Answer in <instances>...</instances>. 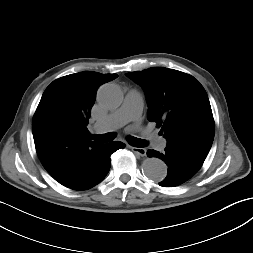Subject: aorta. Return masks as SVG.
Listing matches in <instances>:
<instances>
[{"instance_id": "1", "label": "aorta", "mask_w": 253, "mask_h": 253, "mask_svg": "<svg viewBox=\"0 0 253 253\" xmlns=\"http://www.w3.org/2000/svg\"><path fill=\"white\" fill-rule=\"evenodd\" d=\"M97 101L105 109H116L123 101V94L117 85L104 84L98 90ZM142 171L150 180L160 182L167 175V166L159 158L151 157L143 161Z\"/></svg>"}]
</instances>
